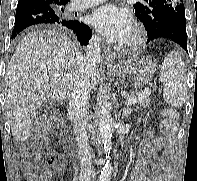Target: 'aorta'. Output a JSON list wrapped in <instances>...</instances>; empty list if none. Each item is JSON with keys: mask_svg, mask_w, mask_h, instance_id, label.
I'll return each mask as SVG.
<instances>
[{"mask_svg": "<svg viewBox=\"0 0 197 181\" xmlns=\"http://www.w3.org/2000/svg\"><path fill=\"white\" fill-rule=\"evenodd\" d=\"M112 117H111V104L109 102V93H103L101 96V111L99 118V131L103 149L106 155H110L112 145ZM112 164L107 160L101 173L98 177V181H110L112 174Z\"/></svg>", "mask_w": 197, "mask_h": 181, "instance_id": "aorta-1", "label": "aorta"}]
</instances>
